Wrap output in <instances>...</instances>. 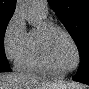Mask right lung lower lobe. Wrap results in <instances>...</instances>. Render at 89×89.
<instances>
[{
	"label": "right lung lower lobe",
	"mask_w": 89,
	"mask_h": 89,
	"mask_svg": "<svg viewBox=\"0 0 89 89\" xmlns=\"http://www.w3.org/2000/svg\"><path fill=\"white\" fill-rule=\"evenodd\" d=\"M11 68L5 64L0 67V72H10Z\"/></svg>",
	"instance_id": "obj_1"
}]
</instances>
